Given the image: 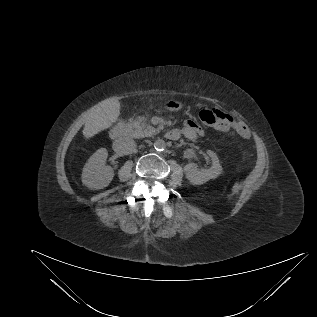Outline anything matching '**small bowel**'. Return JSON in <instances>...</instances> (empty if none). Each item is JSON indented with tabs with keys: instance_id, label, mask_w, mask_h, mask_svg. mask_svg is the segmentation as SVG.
Listing matches in <instances>:
<instances>
[{
	"instance_id": "c3829d8e",
	"label": "small bowel",
	"mask_w": 317,
	"mask_h": 317,
	"mask_svg": "<svg viewBox=\"0 0 317 317\" xmlns=\"http://www.w3.org/2000/svg\"><path fill=\"white\" fill-rule=\"evenodd\" d=\"M171 107H176L175 103H170ZM221 112V122L219 125H217V128L219 130H228L230 128L237 131L238 134H240L242 137L247 138L249 136V130L246 126V124L239 118H234L230 116L229 114ZM177 131V138L182 134L189 138L192 141H195L199 136H202L204 131L203 129L194 121L187 120L183 126V128Z\"/></svg>"
}]
</instances>
